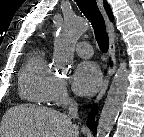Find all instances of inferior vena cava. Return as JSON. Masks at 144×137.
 I'll return each instance as SVG.
<instances>
[{
	"mask_svg": "<svg viewBox=\"0 0 144 137\" xmlns=\"http://www.w3.org/2000/svg\"><path fill=\"white\" fill-rule=\"evenodd\" d=\"M68 116L71 118L78 117V104L75 101H71L70 103Z\"/></svg>",
	"mask_w": 144,
	"mask_h": 137,
	"instance_id": "obj_1",
	"label": "inferior vena cava"
}]
</instances>
